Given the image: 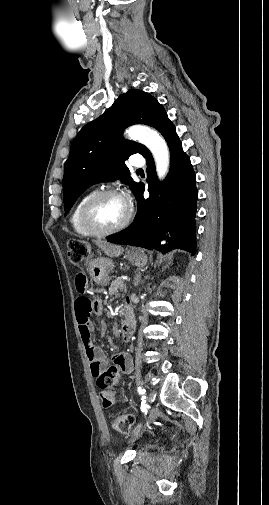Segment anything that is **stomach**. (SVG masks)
<instances>
[{"label": "stomach", "instance_id": "stomach-1", "mask_svg": "<svg viewBox=\"0 0 269 505\" xmlns=\"http://www.w3.org/2000/svg\"><path fill=\"white\" fill-rule=\"evenodd\" d=\"M126 258L138 267L145 266L148 257L140 249H133L127 252ZM114 264L111 259L97 258L91 260L88 266V273L91 281L98 287L106 286L109 283V275L113 270Z\"/></svg>", "mask_w": 269, "mask_h": 505}]
</instances>
